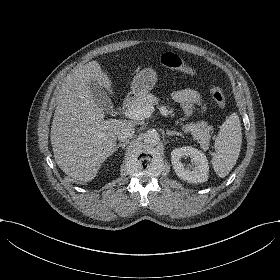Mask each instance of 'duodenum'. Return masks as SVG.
<instances>
[{
    "instance_id": "410a0bca",
    "label": "duodenum",
    "mask_w": 280,
    "mask_h": 280,
    "mask_svg": "<svg viewBox=\"0 0 280 280\" xmlns=\"http://www.w3.org/2000/svg\"><path fill=\"white\" fill-rule=\"evenodd\" d=\"M134 103V99L133 98H126L123 100L122 104H121V108L122 110H127L129 109Z\"/></svg>"
}]
</instances>
